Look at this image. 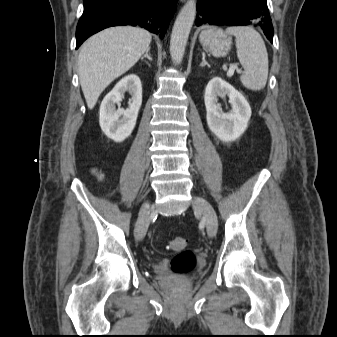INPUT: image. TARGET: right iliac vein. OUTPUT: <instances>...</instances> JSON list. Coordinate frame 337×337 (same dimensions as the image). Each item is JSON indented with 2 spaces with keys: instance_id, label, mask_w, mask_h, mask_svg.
<instances>
[{
  "instance_id": "1",
  "label": "right iliac vein",
  "mask_w": 337,
  "mask_h": 337,
  "mask_svg": "<svg viewBox=\"0 0 337 337\" xmlns=\"http://www.w3.org/2000/svg\"><path fill=\"white\" fill-rule=\"evenodd\" d=\"M151 205L144 203L139 211L138 222L134 231L135 238L139 241L143 240L150 222Z\"/></svg>"
}]
</instances>
